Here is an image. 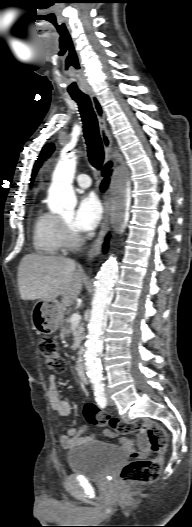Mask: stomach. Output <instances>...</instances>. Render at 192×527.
I'll return each instance as SVG.
<instances>
[{
    "label": "stomach",
    "mask_w": 192,
    "mask_h": 527,
    "mask_svg": "<svg viewBox=\"0 0 192 527\" xmlns=\"http://www.w3.org/2000/svg\"><path fill=\"white\" fill-rule=\"evenodd\" d=\"M63 318V307L55 300H38L32 311V323L35 330L42 334H52Z\"/></svg>",
    "instance_id": "obj_1"
}]
</instances>
